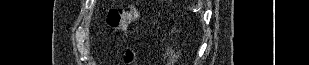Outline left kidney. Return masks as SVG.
<instances>
[{
    "instance_id": "5707ae66",
    "label": "left kidney",
    "mask_w": 309,
    "mask_h": 65,
    "mask_svg": "<svg viewBox=\"0 0 309 65\" xmlns=\"http://www.w3.org/2000/svg\"><path fill=\"white\" fill-rule=\"evenodd\" d=\"M174 53V50H172L171 47H168L167 50H166V55L169 57V60L172 61L174 59V56L175 54Z\"/></svg>"
}]
</instances>
